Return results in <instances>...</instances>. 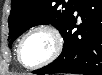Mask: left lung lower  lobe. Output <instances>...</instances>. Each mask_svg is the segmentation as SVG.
<instances>
[{
    "label": "left lung lower lobe",
    "mask_w": 102,
    "mask_h": 75,
    "mask_svg": "<svg viewBox=\"0 0 102 75\" xmlns=\"http://www.w3.org/2000/svg\"><path fill=\"white\" fill-rule=\"evenodd\" d=\"M76 11L82 21L80 25H76ZM59 31L64 39L62 53L33 73L102 75V0H80Z\"/></svg>",
    "instance_id": "obj_1"
}]
</instances>
